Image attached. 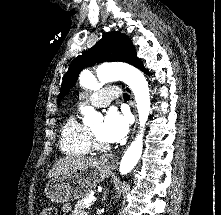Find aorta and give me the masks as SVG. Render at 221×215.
<instances>
[{"label": "aorta", "mask_w": 221, "mask_h": 215, "mask_svg": "<svg viewBox=\"0 0 221 215\" xmlns=\"http://www.w3.org/2000/svg\"><path fill=\"white\" fill-rule=\"evenodd\" d=\"M96 74L101 84L121 80L130 87L134 94L139 115L140 132L121 159L119 172L121 175H125L138 163L143 150V132L148 120L151 104L148 82L141 71L125 63L102 64L97 68ZM82 85L86 89L97 88V85L92 84L88 80H83ZM80 112L84 116L83 122L87 124H91L94 119L99 117V113L90 106L82 107Z\"/></svg>", "instance_id": "762f6f07"}]
</instances>
